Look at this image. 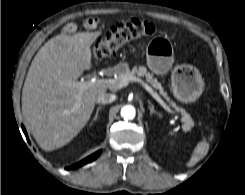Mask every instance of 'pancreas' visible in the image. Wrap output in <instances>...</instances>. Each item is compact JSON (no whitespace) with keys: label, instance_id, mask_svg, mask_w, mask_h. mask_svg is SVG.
Segmentation results:
<instances>
[{"label":"pancreas","instance_id":"cf45deb5","mask_svg":"<svg viewBox=\"0 0 245 195\" xmlns=\"http://www.w3.org/2000/svg\"><path fill=\"white\" fill-rule=\"evenodd\" d=\"M133 76H138V77H145L146 81L152 85L155 89L159 90L160 95H162L165 100L170 102V105L176 109V111L180 112L182 115V122H183V129L185 131L191 130V128L194 126V121L190 117L189 114L185 112L183 108H180L176 105L175 102L171 101L170 98L168 97L167 93L164 91V88L162 87L161 83L158 82L156 78L153 77V74L147 71L146 67L139 66V67H133L132 70L127 69L124 72L118 73V77L116 81L120 83L124 78H129Z\"/></svg>","mask_w":245,"mask_h":195}]
</instances>
